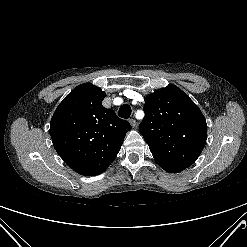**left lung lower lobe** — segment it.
<instances>
[{
    "mask_svg": "<svg viewBox=\"0 0 247 247\" xmlns=\"http://www.w3.org/2000/svg\"><path fill=\"white\" fill-rule=\"evenodd\" d=\"M165 171L170 172V173H178L182 170H184V167L177 166V165H172V164H167L164 162L156 161Z\"/></svg>",
    "mask_w": 247,
    "mask_h": 247,
    "instance_id": "1",
    "label": "left lung lower lobe"
}]
</instances>
